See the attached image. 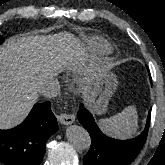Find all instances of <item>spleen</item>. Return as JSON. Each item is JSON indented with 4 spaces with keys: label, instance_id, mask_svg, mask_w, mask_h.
Wrapping results in <instances>:
<instances>
[{
    "label": "spleen",
    "instance_id": "spleen-1",
    "mask_svg": "<svg viewBox=\"0 0 165 165\" xmlns=\"http://www.w3.org/2000/svg\"><path fill=\"white\" fill-rule=\"evenodd\" d=\"M100 128L108 135L127 139L135 135L138 129V115L135 106L125 107L120 113L99 120Z\"/></svg>",
    "mask_w": 165,
    "mask_h": 165
}]
</instances>
